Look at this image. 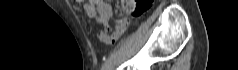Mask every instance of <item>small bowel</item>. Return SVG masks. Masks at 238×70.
I'll use <instances>...</instances> for the list:
<instances>
[{
  "label": "small bowel",
  "mask_w": 238,
  "mask_h": 70,
  "mask_svg": "<svg viewBox=\"0 0 238 70\" xmlns=\"http://www.w3.org/2000/svg\"><path fill=\"white\" fill-rule=\"evenodd\" d=\"M91 4L93 5V7L97 6L99 8V12L105 21H107L113 16V8L109 1L92 0ZM127 26H128V20L120 19L117 22V25L114 31L109 32L106 30V31L99 32L98 38L104 44H113L124 33Z\"/></svg>",
  "instance_id": "1"
}]
</instances>
